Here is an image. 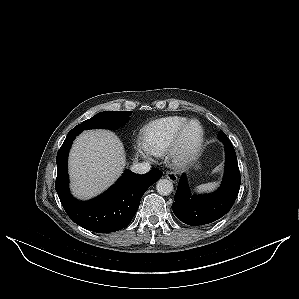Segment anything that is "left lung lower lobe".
Returning a JSON list of instances; mask_svg holds the SVG:
<instances>
[{
  "label": "left lung lower lobe",
  "instance_id": "left-lung-lower-lobe-1",
  "mask_svg": "<svg viewBox=\"0 0 299 299\" xmlns=\"http://www.w3.org/2000/svg\"><path fill=\"white\" fill-rule=\"evenodd\" d=\"M225 147V174L220 188L209 195H191L185 174L180 178L172 210L188 225H205L223 217L233 206L239 192L241 177L234 147L227 138Z\"/></svg>",
  "mask_w": 299,
  "mask_h": 299
}]
</instances>
